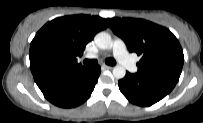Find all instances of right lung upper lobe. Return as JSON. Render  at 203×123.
<instances>
[{"label": "right lung upper lobe", "instance_id": "right-lung-upper-lobe-1", "mask_svg": "<svg viewBox=\"0 0 203 123\" xmlns=\"http://www.w3.org/2000/svg\"><path fill=\"white\" fill-rule=\"evenodd\" d=\"M108 27L105 19L99 16L71 15L47 22L35 35L30 45V67L32 73L39 71L33 66L37 52L49 50L57 56L55 68L83 67L77 63L86 44L95 34Z\"/></svg>", "mask_w": 203, "mask_h": 123}]
</instances>
